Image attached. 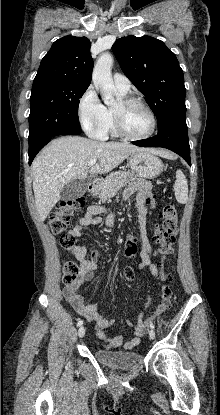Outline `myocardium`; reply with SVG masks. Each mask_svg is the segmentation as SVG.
<instances>
[{
    "instance_id": "myocardium-1",
    "label": "myocardium",
    "mask_w": 220,
    "mask_h": 415,
    "mask_svg": "<svg viewBox=\"0 0 220 415\" xmlns=\"http://www.w3.org/2000/svg\"><path fill=\"white\" fill-rule=\"evenodd\" d=\"M118 103L120 104L122 108H127V107L135 106V105L142 107L149 113L151 117L152 125H151L150 131L146 133L145 135H142V136L130 135L124 129L120 112L113 108L112 114H113L114 128H115L117 135L127 140L141 141V140L150 138L155 133L156 128H157V118H156L155 112L148 104H146L145 102L137 98H123Z\"/></svg>"
}]
</instances>
